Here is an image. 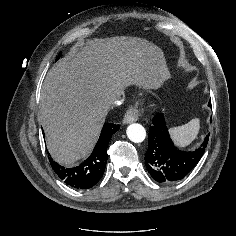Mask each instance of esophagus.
Returning <instances> with one entry per match:
<instances>
[{
	"label": "esophagus",
	"mask_w": 236,
	"mask_h": 236,
	"mask_svg": "<svg viewBox=\"0 0 236 236\" xmlns=\"http://www.w3.org/2000/svg\"><path fill=\"white\" fill-rule=\"evenodd\" d=\"M138 118H139V112L137 111V109H135L134 107H130L125 113L122 123L130 124L137 121Z\"/></svg>",
	"instance_id": "esophagus-1"
}]
</instances>
